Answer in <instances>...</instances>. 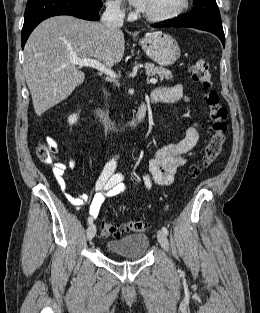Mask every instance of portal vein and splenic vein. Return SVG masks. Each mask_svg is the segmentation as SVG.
Masks as SVG:
<instances>
[{
    "instance_id": "1",
    "label": "portal vein and splenic vein",
    "mask_w": 260,
    "mask_h": 313,
    "mask_svg": "<svg viewBox=\"0 0 260 313\" xmlns=\"http://www.w3.org/2000/svg\"><path fill=\"white\" fill-rule=\"evenodd\" d=\"M71 62L78 65L79 67H92L95 68L103 73H105L106 75L112 77V78H116V73L105 67V65H103L101 62H99L96 59H90V58H86V59H80L76 56H73L70 58ZM150 83L152 84H156L157 83V79L155 78H151L149 80Z\"/></svg>"
}]
</instances>
